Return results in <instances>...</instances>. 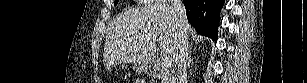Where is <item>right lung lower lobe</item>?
Here are the masks:
<instances>
[{
  "instance_id": "1",
  "label": "right lung lower lobe",
  "mask_w": 307,
  "mask_h": 83,
  "mask_svg": "<svg viewBox=\"0 0 307 83\" xmlns=\"http://www.w3.org/2000/svg\"><path fill=\"white\" fill-rule=\"evenodd\" d=\"M188 21L203 36L217 41L220 11L224 0H183Z\"/></svg>"
}]
</instances>
